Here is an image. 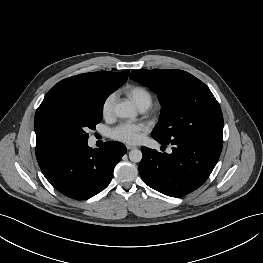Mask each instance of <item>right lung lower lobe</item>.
Returning <instances> with one entry per match:
<instances>
[{
  "label": "right lung lower lobe",
  "instance_id": "1",
  "mask_svg": "<svg viewBox=\"0 0 263 263\" xmlns=\"http://www.w3.org/2000/svg\"><path fill=\"white\" fill-rule=\"evenodd\" d=\"M125 145L105 142L92 149L87 142L63 148L38 164L46 179L65 196L82 200L104 190L116 164L126 153Z\"/></svg>",
  "mask_w": 263,
  "mask_h": 263
}]
</instances>
